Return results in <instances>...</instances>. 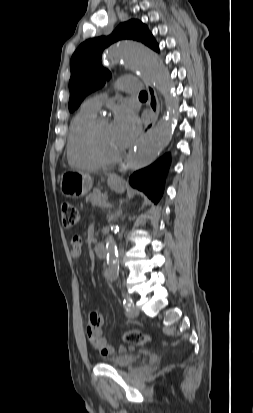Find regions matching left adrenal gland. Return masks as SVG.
Returning a JSON list of instances; mask_svg holds the SVG:
<instances>
[{
	"label": "left adrenal gland",
	"mask_w": 253,
	"mask_h": 413,
	"mask_svg": "<svg viewBox=\"0 0 253 413\" xmlns=\"http://www.w3.org/2000/svg\"><path fill=\"white\" fill-rule=\"evenodd\" d=\"M121 214H122V212H121V210H119V211L115 214V218L120 217V216H121Z\"/></svg>",
	"instance_id": "left-adrenal-gland-1"
}]
</instances>
